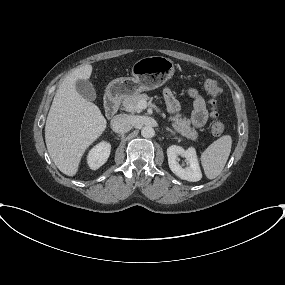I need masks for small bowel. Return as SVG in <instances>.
<instances>
[{"instance_id":"1","label":"small bowel","mask_w":285,"mask_h":285,"mask_svg":"<svg viewBox=\"0 0 285 285\" xmlns=\"http://www.w3.org/2000/svg\"><path fill=\"white\" fill-rule=\"evenodd\" d=\"M189 96L193 99V110L191 121L195 127H202L207 121V102L194 88L188 89ZM164 98L170 113L179 110V103L169 88L164 90Z\"/></svg>"}]
</instances>
